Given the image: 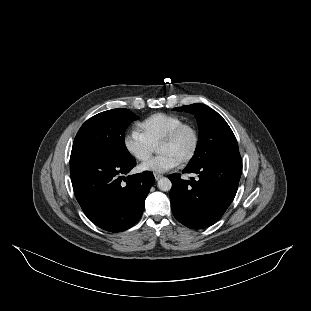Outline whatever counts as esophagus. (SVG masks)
<instances>
[{"label": "esophagus", "instance_id": "obj_1", "mask_svg": "<svg viewBox=\"0 0 311 311\" xmlns=\"http://www.w3.org/2000/svg\"><path fill=\"white\" fill-rule=\"evenodd\" d=\"M153 174H154V178H155L156 181L159 180L162 177L161 174H158L156 172H154Z\"/></svg>", "mask_w": 311, "mask_h": 311}]
</instances>
